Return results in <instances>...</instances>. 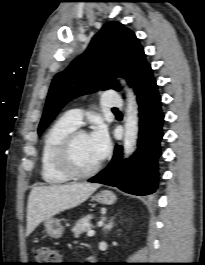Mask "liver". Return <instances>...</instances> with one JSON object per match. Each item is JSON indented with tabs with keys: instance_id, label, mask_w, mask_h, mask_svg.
<instances>
[{
	"instance_id": "liver-1",
	"label": "liver",
	"mask_w": 205,
	"mask_h": 265,
	"mask_svg": "<svg viewBox=\"0 0 205 265\" xmlns=\"http://www.w3.org/2000/svg\"><path fill=\"white\" fill-rule=\"evenodd\" d=\"M99 187L97 183H73L32 188L27 204V235L41 222L80 205Z\"/></svg>"
}]
</instances>
